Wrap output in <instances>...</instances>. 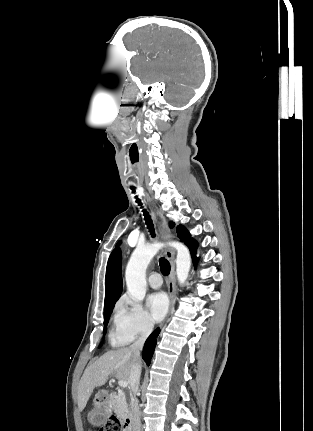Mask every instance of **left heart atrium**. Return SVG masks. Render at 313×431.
I'll use <instances>...</instances> for the list:
<instances>
[{"label":"left heart atrium","instance_id":"left-heart-atrium-1","mask_svg":"<svg viewBox=\"0 0 313 431\" xmlns=\"http://www.w3.org/2000/svg\"><path fill=\"white\" fill-rule=\"evenodd\" d=\"M147 307L152 320L159 322L168 311V299L162 292L153 293L148 297Z\"/></svg>","mask_w":313,"mask_h":431}]
</instances>
